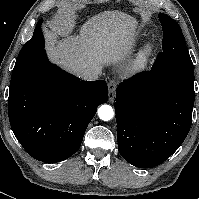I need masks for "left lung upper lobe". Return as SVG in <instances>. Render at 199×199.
I'll use <instances>...</instances> for the list:
<instances>
[{"instance_id":"1","label":"left lung upper lobe","mask_w":199,"mask_h":199,"mask_svg":"<svg viewBox=\"0 0 199 199\" xmlns=\"http://www.w3.org/2000/svg\"><path fill=\"white\" fill-rule=\"evenodd\" d=\"M159 20L163 30V52L158 54L153 68H177L194 73V66L180 26L163 13L159 14Z\"/></svg>"}]
</instances>
